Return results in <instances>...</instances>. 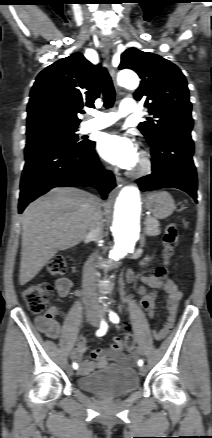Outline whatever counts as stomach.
Wrapping results in <instances>:
<instances>
[{
  "instance_id": "1",
  "label": "stomach",
  "mask_w": 212,
  "mask_h": 438,
  "mask_svg": "<svg viewBox=\"0 0 212 438\" xmlns=\"http://www.w3.org/2000/svg\"><path fill=\"white\" fill-rule=\"evenodd\" d=\"M146 208L158 219H165L175 210L174 200L165 191L148 193L144 199Z\"/></svg>"
}]
</instances>
